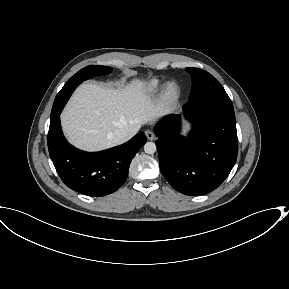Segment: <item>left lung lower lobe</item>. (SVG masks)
<instances>
[{
	"instance_id": "left-lung-lower-lobe-1",
	"label": "left lung lower lobe",
	"mask_w": 289,
	"mask_h": 289,
	"mask_svg": "<svg viewBox=\"0 0 289 289\" xmlns=\"http://www.w3.org/2000/svg\"><path fill=\"white\" fill-rule=\"evenodd\" d=\"M183 109L193 124L188 137L179 134V115L165 117L155 128L160 169L177 191L201 195L219 187L236 162L234 109L214 99L190 100Z\"/></svg>"
}]
</instances>
